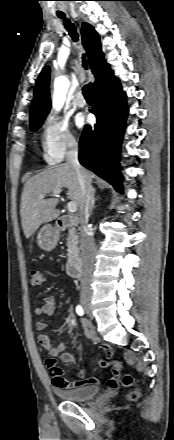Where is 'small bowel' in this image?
<instances>
[{"label":"small bowel","instance_id":"c3829d8e","mask_svg":"<svg viewBox=\"0 0 174 440\" xmlns=\"http://www.w3.org/2000/svg\"><path fill=\"white\" fill-rule=\"evenodd\" d=\"M55 311V299L52 296H46L43 299V303L39 304L35 308V313L41 317H50L53 315ZM82 326L84 328L86 336L91 339L93 342H97L95 333L93 331L92 325L87 320H82ZM46 329V323L44 321L36 322V330L39 332H43ZM39 344L43 348V350L51 357L46 361L47 366L50 370V375L52 378V382L56 387L61 388H77L81 386H86L90 384H98L100 380L97 377H86L82 372L79 373V378L75 381H68L65 377L64 369L58 364L55 358L59 357L60 360L64 363H74L75 357L69 353H66V346L64 343H59L57 346L53 347L50 343V339L45 334H40L38 337ZM102 350L106 353V355L111 358L113 356V351L106 346L102 347ZM110 381L115 382L118 385V381L116 378V373H113V376L108 379L107 385L111 388H116L109 384Z\"/></svg>","mask_w":174,"mask_h":440}]
</instances>
